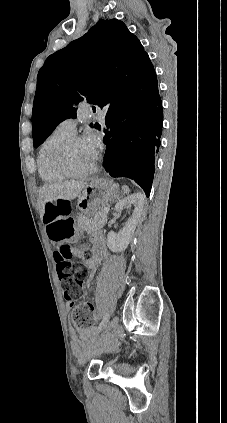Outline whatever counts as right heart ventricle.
<instances>
[{
  "label": "right heart ventricle",
  "mask_w": 227,
  "mask_h": 423,
  "mask_svg": "<svg viewBox=\"0 0 227 423\" xmlns=\"http://www.w3.org/2000/svg\"><path fill=\"white\" fill-rule=\"evenodd\" d=\"M60 126L53 130L40 144L37 154V169L39 176L46 183H55L63 180L65 176L55 165L54 154L58 146L72 137Z\"/></svg>",
  "instance_id": "right-heart-ventricle-1"
}]
</instances>
